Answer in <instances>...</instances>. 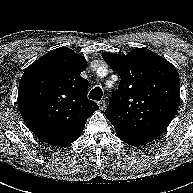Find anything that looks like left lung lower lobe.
<instances>
[{"mask_svg": "<svg viewBox=\"0 0 193 193\" xmlns=\"http://www.w3.org/2000/svg\"><path fill=\"white\" fill-rule=\"evenodd\" d=\"M116 133L122 141L126 142L129 145H133L137 147L141 145H145L158 137L156 135H148V134L139 135V134H126V133H120V132H116Z\"/></svg>", "mask_w": 193, "mask_h": 193, "instance_id": "1", "label": "left lung lower lobe"}]
</instances>
